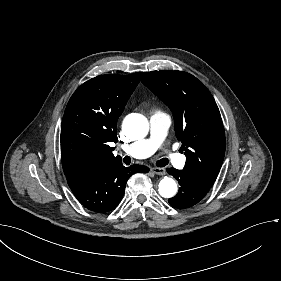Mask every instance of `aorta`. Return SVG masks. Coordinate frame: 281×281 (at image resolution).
Masks as SVG:
<instances>
[{
	"instance_id": "aorta-1",
	"label": "aorta",
	"mask_w": 281,
	"mask_h": 281,
	"mask_svg": "<svg viewBox=\"0 0 281 281\" xmlns=\"http://www.w3.org/2000/svg\"><path fill=\"white\" fill-rule=\"evenodd\" d=\"M123 129L135 140L144 138L149 131L148 120L141 114H130L124 120ZM158 190L162 197L172 198L177 193V184L172 178L166 176L159 182Z\"/></svg>"
}]
</instances>
